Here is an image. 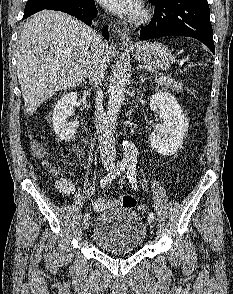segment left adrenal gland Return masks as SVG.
I'll return each instance as SVG.
<instances>
[{
	"label": "left adrenal gland",
	"instance_id": "1",
	"mask_svg": "<svg viewBox=\"0 0 233 294\" xmlns=\"http://www.w3.org/2000/svg\"><path fill=\"white\" fill-rule=\"evenodd\" d=\"M147 78H145L144 74L140 75V84H142Z\"/></svg>",
	"mask_w": 233,
	"mask_h": 294
}]
</instances>
